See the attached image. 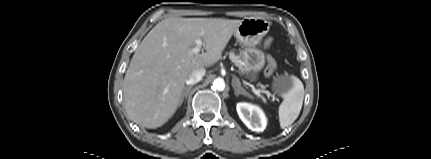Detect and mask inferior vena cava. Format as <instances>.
<instances>
[{
  "label": "inferior vena cava",
  "instance_id": "obj_1",
  "mask_svg": "<svg viewBox=\"0 0 431 159\" xmlns=\"http://www.w3.org/2000/svg\"><path fill=\"white\" fill-rule=\"evenodd\" d=\"M205 75V69H197L193 71L186 79L187 85H193L198 83Z\"/></svg>",
  "mask_w": 431,
  "mask_h": 159
}]
</instances>
